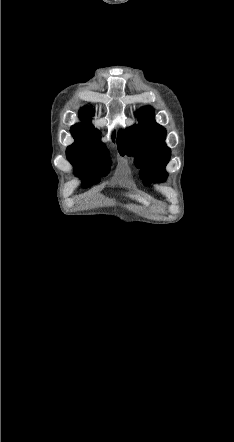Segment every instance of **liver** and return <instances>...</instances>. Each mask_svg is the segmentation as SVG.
<instances>
[{
  "label": "liver",
  "instance_id": "liver-1",
  "mask_svg": "<svg viewBox=\"0 0 234 442\" xmlns=\"http://www.w3.org/2000/svg\"><path fill=\"white\" fill-rule=\"evenodd\" d=\"M131 197H135L136 199H138L139 201H142V202H144L145 203V200H143L142 198H139V197H137V196H133V195H130Z\"/></svg>",
  "mask_w": 234,
  "mask_h": 442
}]
</instances>
